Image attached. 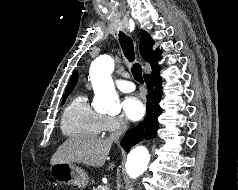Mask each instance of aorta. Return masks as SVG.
I'll return each mask as SVG.
<instances>
[{
	"label": "aorta",
	"mask_w": 238,
	"mask_h": 190,
	"mask_svg": "<svg viewBox=\"0 0 238 190\" xmlns=\"http://www.w3.org/2000/svg\"><path fill=\"white\" fill-rule=\"evenodd\" d=\"M114 69V61L109 55L97 57L91 64L90 79L95 92L96 108L108 113H119L121 105L115 91L111 73ZM150 160L148 150L138 146L128 155L126 170L131 177H137L144 173Z\"/></svg>",
	"instance_id": "1"
}]
</instances>
